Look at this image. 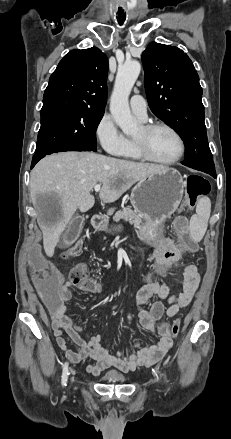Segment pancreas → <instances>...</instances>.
I'll use <instances>...</instances> for the list:
<instances>
[{
    "instance_id": "pancreas-1",
    "label": "pancreas",
    "mask_w": 231,
    "mask_h": 439,
    "mask_svg": "<svg viewBox=\"0 0 231 439\" xmlns=\"http://www.w3.org/2000/svg\"><path fill=\"white\" fill-rule=\"evenodd\" d=\"M122 219L137 227L143 224V217L136 211L127 208L117 211L113 216L115 222Z\"/></svg>"
}]
</instances>
